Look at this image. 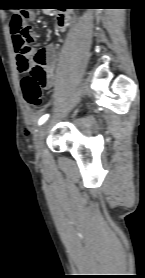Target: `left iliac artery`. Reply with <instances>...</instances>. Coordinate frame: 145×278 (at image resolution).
<instances>
[{"mask_svg": "<svg viewBox=\"0 0 145 278\" xmlns=\"http://www.w3.org/2000/svg\"><path fill=\"white\" fill-rule=\"evenodd\" d=\"M48 117H49V114L43 115V116L39 119L38 125H42L43 123H45V121L48 119Z\"/></svg>", "mask_w": 145, "mask_h": 278, "instance_id": "left-iliac-artery-1", "label": "left iliac artery"}]
</instances>
